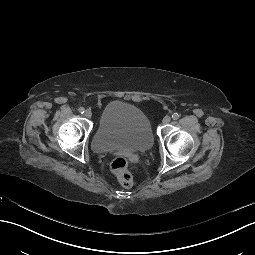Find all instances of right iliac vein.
Here are the masks:
<instances>
[{
    "instance_id": "1",
    "label": "right iliac vein",
    "mask_w": 255,
    "mask_h": 255,
    "mask_svg": "<svg viewBox=\"0 0 255 255\" xmlns=\"http://www.w3.org/2000/svg\"><path fill=\"white\" fill-rule=\"evenodd\" d=\"M84 115L87 117V118H90L92 116V112L90 109H87L85 112H84Z\"/></svg>"
}]
</instances>
